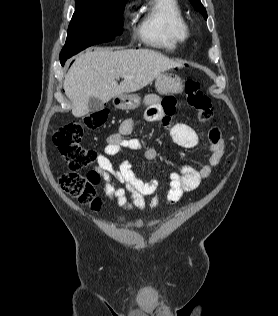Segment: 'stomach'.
Instances as JSON below:
<instances>
[{
    "instance_id": "0dacf381",
    "label": "stomach",
    "mask_w": 278,
    "mask_h": 316,
    "mask_svg": "<svg viewBox=\"0 0 278 316\" xmlns=\"http://www.w3.org/2000/svg\"><path fill=\"white\" fill-rule=\"evenodd\" d=\"M155 87L160 95L178 93L182 90V80L178 75L161 73L155 81ZM117 109L132 110L140 105V97L133 94H121L113 98Z\"/></svg>"
}]
</instances>
